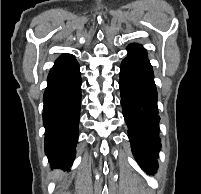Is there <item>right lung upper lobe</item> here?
I'll list each match as a JSON object with an SVG mask.
<instances>
[{
  "mask_svg": "<svg viewBox=\"0 0 201 194\" xmlns=\"http://www.w3.org/2000/svg\"><path fill=\"white\" fill-rule=\"evenodd\" d=\"M72 56L71 54H63L62 56H60L59 58H64V57H70Z\"/></svg>",
  "mask_w": 201,
  "mask_h": 194,
  "instance_id": "obj_1",
  "label": "right lung upper lobe"
}]
</instances>
